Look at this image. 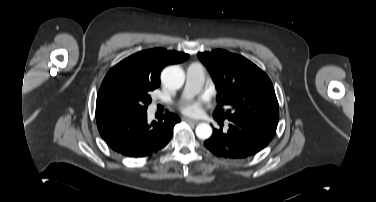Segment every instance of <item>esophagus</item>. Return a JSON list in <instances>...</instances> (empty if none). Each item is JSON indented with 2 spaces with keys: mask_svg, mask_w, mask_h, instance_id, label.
<instances>
[{
  "mask_svg": "<svg viewBox=\"0 0 376 202\" xmlns=\"http://www.w3.org/2000/svg\"><path fill=\"white\" fill-rule=\"evenodd\" d=\"M183 120L186 121V122L194 123V124H197L199 122L198 120L191 119V118H188V117H184Z\"/></svg>",
  "mask_w": 376,
  "mask_h": 202,
  "instance_id": "34e87169",
  "label": "esophagus"
}]
</instances>
